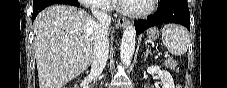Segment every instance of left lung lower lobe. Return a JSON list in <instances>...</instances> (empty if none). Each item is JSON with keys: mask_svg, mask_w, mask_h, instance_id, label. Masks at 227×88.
<instances>
[{"mask_svg": "<svg viewBox=\"0 0 227 88\" xmlns=\"http://www.w3.org/2000/svg\"><path fill=\"white\" fill-rule=\"evenodd\" d=\"M178 23L190 31V13L187 0H161L157 12L147 20L135 21L136 34H141L149 27L159 24Z\"/></svg>", "mask_w": 227, "mask_h": 88, "instance_id": "left-lung-lower-lobe-1", "label": "left lung lower lobe"}]
</instances>
